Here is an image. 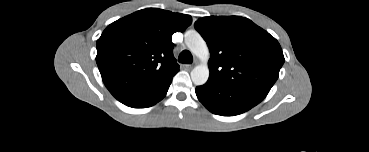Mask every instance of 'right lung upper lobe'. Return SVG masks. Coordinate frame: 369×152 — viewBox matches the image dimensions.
I'll use <instances>...</instances> for the list:
<instances>
[{
    "mask_svg": "<svg viewBox=\"0 0 369 152\" xmlns=\"http://www.w3.org/2000/svg\"><path fill=\"white\" fill-rule=\"evenodd\" d=\"M189 15L147 8L111 23L97 40L96 62L110 93L126 102L161 89L179 71L172 35Z\"/></svg>",
    "mask_w": 369,
    "mask_h": 152,
    "instance_id": "cb5924a9",
    "label": "right lung upper lobe"
}]
</instances>
